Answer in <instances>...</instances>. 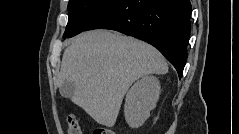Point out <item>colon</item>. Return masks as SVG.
I'll use <instances>...</instances> for the list:
<instances>
[{
	"instance_id": "colon-1",
	"label": "colon",
	"mask_w": 239,
	"mask_h": 134,
	"mask_svg": "<svg viewBox=\"0 0 239 134\" xmlns=\"http://www.w3.org/2000/svg\"><path fill=\"white\" fill-rule=\"evenodd\" d=\"M67 125L70 134H80V128L74 115L67 116ZM94 134H114V132L107 128H97Z\"/></svg>"
}]
</instances>
